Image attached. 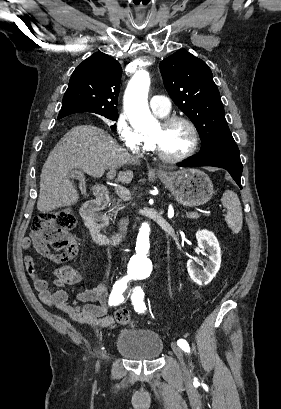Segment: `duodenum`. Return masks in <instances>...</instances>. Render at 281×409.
<instances>
[{
  "label": "duodenum",
  "mask_w": 281,
  "mask_h": 409,
  "mask_svg": "<svg viewBox=\"0 0 281 409\" xmlns=\"http://www.w3.org/2000/svg\"><path fill=\"white\" fill-rule=\"evenodd\" d=\"M96 200L87 201L81 208V216L87 226L92 239L100 247H117L124 239L123 233L111 236L105 234L100 227L98 214L106 203L111 202L110 187L98 186L95 191Z\"/></svg>",
  "instance_id": "duodenum-1"
}]
</instances>
